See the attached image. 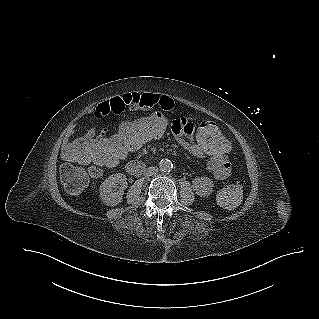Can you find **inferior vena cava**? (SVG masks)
Listing matches in <instances>:
<instances>
[{
    "instance_id": "inferior-vena-cava-1",
    "label": "inferior vena cava",
    "mask_w": 319,
    "mask_h": 319,
    "mask_svg": "<svg viewBox=\"0 0 319 319\" xmlns=\"http://www.w3.org/2000/svg\"><path fill=\"white\" fill-rule=\"evenodd\" d=\"M158 173V168L157 167H149L145 173L147 176H152Z\"/></svg>"
}]
</instances>
